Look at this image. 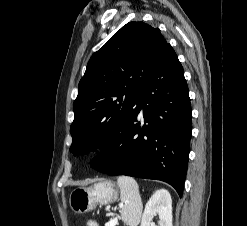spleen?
<instances>
[{
  "instance_id": "3e777b00",
  "label": "spleen",
  "mask_w": 247,
  "mask_h": 226,
  "mask_svg": "<svg viewBox=\"0 0 247 226\" xmlns=\"http://www.w3.org/2000/svg\"><path fill=\"white\" fill-rule=\"evenodd\" d=\"M117 182L120 188L121 201L123 202L121 209L122 220L130 226H135L142 213V201L138 184L135 179L128 176L118 177ZM88 226H97V223L88 221Z\"/></svg>"
}]
</instances>
